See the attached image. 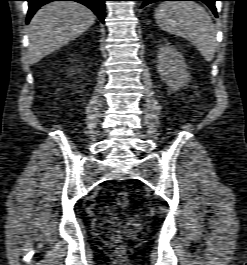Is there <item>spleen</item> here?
Returning <instances> with one entry per match:
<instances>
[{
  "instance_id": "3e777b00",
  "label": "spleen",
  "mask_w": 247,
  "mask_h": 265,
  "mask_svg": "<svg viewBox=\"0 0 247 265\" xmlns=\"http://www.w3.org/2000/svg\"><path fill=\"white\" fill-rule=\"evenodd\" d=\"M159 27L190 41L207 62L214 58L217 41L211 17L192 1H166L155 11Z\"/></svg>"
}]
</instances>
